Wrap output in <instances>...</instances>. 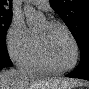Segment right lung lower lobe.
Instances as JSON below:
<instances>
[{"instance_id": "98d812e1", "label": "right lung lower lobe", "mask_w": 89, "mask_h": 89, "mask_svg": "<svg viewBox=\"0 0 89 89\" xmlns=\"http://www.w3.org/2000/svg\"><path fill=\"white\" fill-rule=\"evenodd\" d=\"M11 61L9 59L6 44L0 49V69L6 66H10Z\"/></svg>"}]
</instances>
